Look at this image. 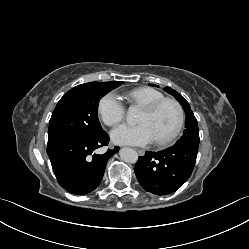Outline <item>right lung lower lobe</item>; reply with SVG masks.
Here are the masks:
<instances>
[{
	"mask_svg": "<svg viewBox=\"0 0 249 249\" xmlns=\"http://www.w3.org/2000/svg\"><path fill=\"white\" fill-rule=\"evenodd\" d=\"M109 136L103 131L93 138H75L47 148V154L58 183L69 193L84 195L100 183L108 159L119 147L104 154L95 150L108 145Z\"/></svg>",
	"mask_w": 249,
	"mask_h": 249,
	"instance_id": "right-lung-lower-lobe-1",
	"label": "right lung lower lobe"
}]
</instances>
